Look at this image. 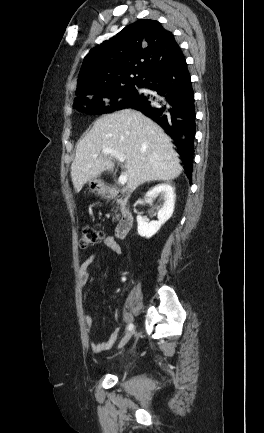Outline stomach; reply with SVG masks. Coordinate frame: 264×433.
<instances>
[{"label": "stomach", "mask_w": 264, "mask_h": 433, "mask_svg": "<svg viewBox=\"0 0 264 433\" xmlns=\"http://www.w3.org/2000/svg\"><path fill=\"white\" fill-rule=\"evenodd\" d=\"M88 185H89L90 192L96 195H102L107 191V187L99 179H91Z\"/></svg>", "instance_id": "stomach-1"}]
</instances>
